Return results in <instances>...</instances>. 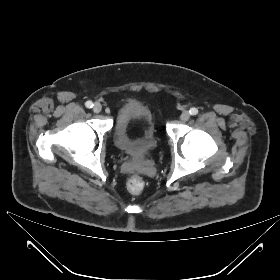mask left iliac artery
I'll return each mask as SVG.
<instances>
[{
  "label": "left iliac artery",
  "instance_id": "obj_1",
  "mask_svg": "<svg viewBox=\"0 0 280 280\" xmlns=\"http://www.w3.org/2000/svg\"><path fill=\"white\" fill-rule=\"evenodd\" d=\"M189 113L191 114V115H197L198 114V109L197 108H191L190 110H189Z\"/></svg>",
  "mask_w": 280,
  "mask_h": 280
}]
</instances>
